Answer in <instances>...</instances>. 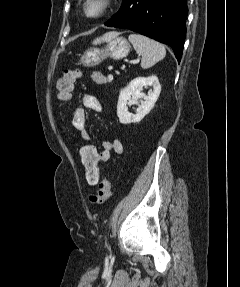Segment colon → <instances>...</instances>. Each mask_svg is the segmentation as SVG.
I'll use <instances>...</instances> for the list:
<instances>
[{
	"label": "colon",
	"mask_w": 240,
	"mask_h": 287,
	"mask_svg": "<svg viewBox=\"0 0 240 287\" xmlns=\"http://www.w3.org/2000/svg\"><path fill=\"white\" fill-rule=\"evenodd\" d=\"M80 76V70L71 69L65 71L63 76L58 80V98L61 101L66 102L70 99L74 83ZM80 155L88 184L98 187L97 192L91 195L89 200L93 205H102L111 196V185L108 179L102 174L99 166L98 151L92 145H83L80 149Z\"/></svg>",
	"instance_id": "5ec220e1"
}]
</instances>
